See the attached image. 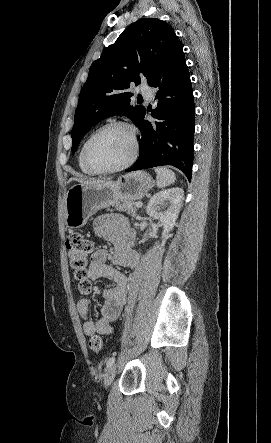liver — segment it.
I'll use <instances>...</instances> for the list:
<instances>
[{
	"instance_id": "obj_1",
	"label": "liver",
	"mask_w": 271,
	"mask_h": 443,
	"mask_svg": "<svg viewBox=\"0 0 271 443\" xmlns=\"http://www.w3.org/2000/svg\"><path fill=\"white\" fill-rule=\"evenodd\" d=\"M73 180H76V182H80L81 186H89V184H99V182H91V180L83 182V180H77V178H70V180H68V184L69 182H73Z\"/></svg>"
}]
</instances>
